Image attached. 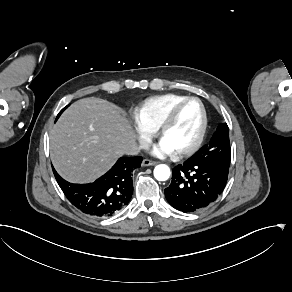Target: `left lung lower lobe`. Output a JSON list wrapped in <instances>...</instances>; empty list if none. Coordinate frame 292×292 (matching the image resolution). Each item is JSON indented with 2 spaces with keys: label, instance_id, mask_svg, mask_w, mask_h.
Listing matches in <instances>:
<instances>
[{
  "label": "left lung lower lobe",
  "instance_id": "left-lung-lower-lobe-1",
  "mask_svg": "<svg viewBox=\"0 0 292 292\" xmlns=\"http://www.w3.org/2000/svg\"><path fill=\"white\" fill-rule=\"evenodd\" d=\"M230 163L204 161L194 155L174 167L172 181L165 189L168 203L184 213L203 210L223 192Z\"/></svg>",
  "mask_w": 292,
  "mask_h": 292
}]
</instances>
